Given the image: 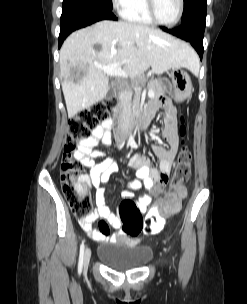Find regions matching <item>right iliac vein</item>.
<instances>
[{
  "mask_svg": "<svg viewBox=\"0 0 247 304\" xmlns=\"http://www.w3.org/2000/svg\"><path fill=\"white\" fill-rule=\"evenodd\" d=\"M91 257V250L89 248H86L84 252V257H83V267L86 269L88 267L89 261Z\"/></svg>",
  "mask_w": 247,
  "mask_h": 304,
  "instance_id": "1",
  "label": "right iliac vein"
}]
</instances>
